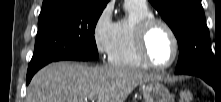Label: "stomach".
Wrapping results in <instances>:
<instances>
[{"mask_svg":"<svg viewBox=\"0 0 221 102\" xmlns=\"http://www.w3.org/2000/svg\"><path fill=\"white\" fill-rule=\"evenodd\" d=\"M144 102H171L168 88L158 81H151L143 87Z\"/></svg>","mask_w":221,"mask_h":102,"instance_id":"obj_1","label":"stomach"}]
</instances>
